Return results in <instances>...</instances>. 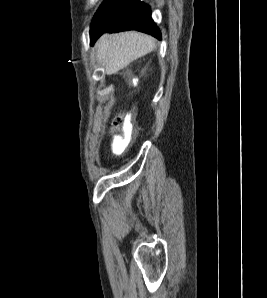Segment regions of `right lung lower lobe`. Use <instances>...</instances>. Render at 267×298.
I'll use <instances>...</instances> for the list:
<instances>
[{"instance_id": "1", "label": "right lung lower lobe", "mask_w": 267, "mask_h": 298, "mask_svg": "<svg viewBox=\"0 0 267 298\" xmlns=\"http://www.w3.org/2000/svg\"><path fill=\"white\" fill-rule=\"evenodd\" d=\"M125 30H138L161 39L148 5L140 0H109L91 24L90 43L93 45L104 32Z\"/></svg>"}]
</instances>
